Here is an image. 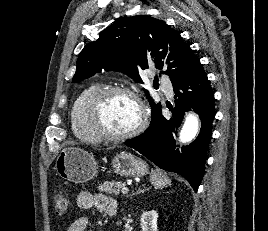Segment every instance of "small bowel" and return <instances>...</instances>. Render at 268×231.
<instances>
[{
	"label": "small bowel",
	"mask_w": 268,
	"mask_h": 231,
	"mask_svg": "<svg viewBox=\"0 0 268 231\" xmlns=\"http://www.w3.org/2000/svg\"><path fill=\"white\" fill-rule=\"evenodd\" d=\"M76 204L81 209H91L95 207L100 212L106 215H114L117 211L116 201L104 194H92L88 191H82L76 198ZM89 225V219L86 217H80L72 222L66 231H87Z\"/></svg>",
	"instance_id": "obj_1"
}]
</instances>
